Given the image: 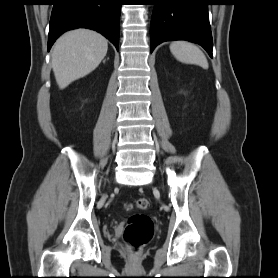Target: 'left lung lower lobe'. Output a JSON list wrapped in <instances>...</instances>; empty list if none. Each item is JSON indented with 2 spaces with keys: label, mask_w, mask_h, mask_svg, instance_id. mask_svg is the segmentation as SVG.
<instances>
[{
  "label": "left lung lower lobe",
  "mask_w": 278,
  "mask_h": 278,
  "mask_svg": "<svg viewBox=\"0 0 278 278\" xmlns=\"http://www.w3.org/2000/svg\"><path fill=\"white\" fill-rule=\"evenodd\" d=\"M210 0H151L150 51L162 42L187 40L201 45L212 58Z\"/></svg>",
  "instance_id": "left-lung-lower-lobe-1"
}]
</instances>
